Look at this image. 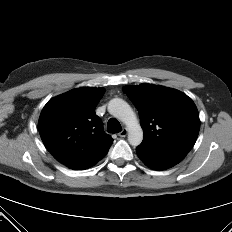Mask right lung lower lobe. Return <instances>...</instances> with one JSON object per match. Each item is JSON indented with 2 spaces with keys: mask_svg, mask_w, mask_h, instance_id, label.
I'll return each instance as SVG.
<instances>
[{
  "mask_svg": "<svg viewBox=\"0 0 232 232\" xmlns=\"http://www.w3.org/2000/svg\"><path fill=\"white\" fill-rule=\"evenodd\" d=\"M89 167H91V166H89ZM86 168H88V167L77 168V169L82 170V169H86Z\"/></svg>",
  "mask_w": 232,
  "mask_h": 232,
  "instance_id": "right-lung-lower-lobe-1",
  "label": "right lung lower lobe"
}]
</instances>
